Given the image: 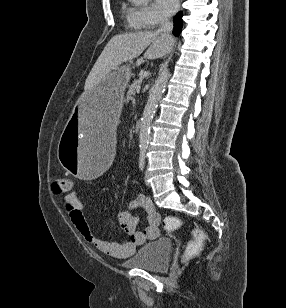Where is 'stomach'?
Here are the masks:
<instances>
[{
    "label": "stomach",
    "mask_w": 286,
    "mask_h": 308,
    "mask_svg": "<svg viewBox=\"0 0 286 308\" xmlns=\"http://www.w3.org/2000/svg\"><path fill=\"white\" fill-rule=\"evenodd\" d=\"M131 76V64L118 67L84 92L78 107H73L74 118L64 120V137H58L56 142L58 159L80 182H97L103 168H110L115 159L114 139L109 132L118 125L120 106Z\"/></svg>",
    "instance_id": "stomach-1"
}]
</instances>
